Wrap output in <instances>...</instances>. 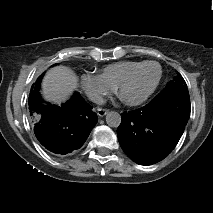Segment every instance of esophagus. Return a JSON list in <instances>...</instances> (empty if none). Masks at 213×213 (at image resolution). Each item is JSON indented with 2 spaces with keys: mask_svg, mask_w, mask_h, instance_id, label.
Instances as JSON below:
<instances>
[{
  "mask_svg": "<svg viewBox=\"0 0 213 213\" xmlns=\"http://www.w3.org/2000/svg\"><path fill=\"white\" fill-rule=\"evenodd\" d=\"M107 113H108V110H107V109H103V108H98V109H97V114H98V116H100V117L105 116Z\"/></svg>",
  "mask_w": 213,
  "mask_h": 213,
  "instance_id": "1",
  "label": "esophagus"
}]
</instances>
